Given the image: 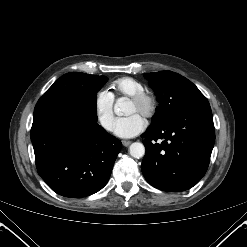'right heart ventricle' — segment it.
<instances>
[{
  "label": "right heart ventricle",
  "instance_id": "1",
  "mask_svg": "<svg viewBox=\"0 0 247 247\" xmlns=\"http://www.w3.org/2000/svg\"><path fill=\"white\" fill-rule=\"evenodd\" d=\"M144 91V85L131 77H121L110 85V94L113 98L128 97Z\"/></svg>",
  "mask_w": 247,
  "mask_h": 247
}]
</instances>
